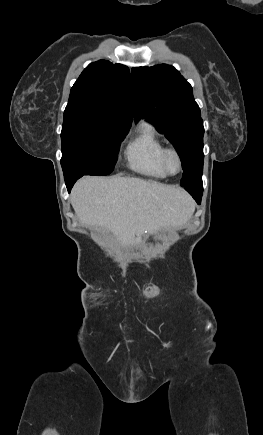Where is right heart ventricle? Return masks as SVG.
Segmentation results:
<instances>
[{"instance_id":"1","label":"right heart ventricle","mask_w":263,"mask_h":435,"mask_svg":"<svg viewBox=\"0 0 263 435\" xmlns=\"http://www.w3.org/2000/svg\"><path fill=\"white\" fill-rule=\"evenodd\" d=\"M163 148L155 127L149 122H142L125 149L128 167L147 177L166 178L168 175L160 161Z\"/></svg>"}]
</instances>
